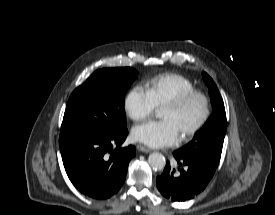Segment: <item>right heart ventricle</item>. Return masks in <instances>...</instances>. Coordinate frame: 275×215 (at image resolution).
Here are the masks:
<instances>
[{"mask_svg": "<svg viewBox=\"0 0 275 215\" xmlns=\"http://www.w3.org/2000/svg\"><path fill=\"white\" fill-rule=\"evenodd\" d=\"M146 90L156 107H162L177 96L195 90L194 84L177 73H164L146 82Z\"/></svg>", "mask_w": 275, "mask_h": 215, "instance_id": "e07e8e85", "label": "right heart ventricle"}]
</instances>
